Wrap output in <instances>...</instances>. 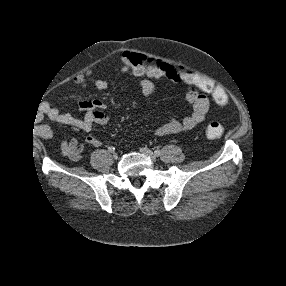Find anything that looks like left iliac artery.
Masks as SVG:
<instances>
[{"mask_svg":"<svg viewBox=\"0 0 286 286\" xmlns=\"http://www.w3.org/2000/svg\"><path fill=\"white\" fill-rule=\"evenodd\" d=\"M154 153H155V155H156V156H160V155H161V151H160V150H158V149H157V150H155V152H154Z\"/></svg>","mask_w":286,"mask_h":286,"instance_id":"44dca946","label":"left iliac artery"}]
</instances>
